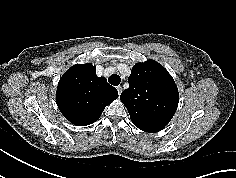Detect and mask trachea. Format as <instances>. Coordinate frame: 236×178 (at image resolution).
<instances>
[{"label":"trachea","instance_id":"1","mask_svg":"<svg viewBox=\"0 0 236 178\" xmlns=\"http://www.w3.org/2000/svg\"><path fill=\"white\" fill-rule=\"evenodd\" d=\"M108 82L113 86H118L121 82V79L118 75L113 74L108 78Z\"/></svg>","mask_w":236,"mask_h":178}]
</instances>
